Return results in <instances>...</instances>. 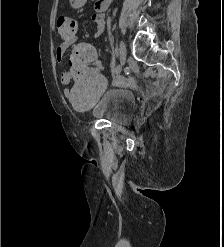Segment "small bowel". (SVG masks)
<instances>
[{
	"instance_id": "1",
	"label": "small bowel",
	"mask_w": 224,
	"mask_h": 247,
	"mask_svg": "<svg viewBox=\"0 0 224 247\" xmlns=\"http://www.w3.org/2000/svg\"><path fill=\"white\" fill-rule=\"evenodd\" d=\"M70 1H71L72 6L75 7V8L81 7L86 2V0H70ZM90 20L92 22H94L96 24V26H97V30H96L95 36L96 37L100 36L104 32L105 27H106L105 14L96 9V13L91 15ZM75 42H76V37L70 38V39H66L56 49L55 58H56V60L58 62H61L63 60V56H64L65 51L71 45H73ZM69 78H70L69 77V73L67 71H63L61 73L60 80H61L62 84H68ZM64 94H65L66 97H68L69 96V89H65L64 90Z\"/></svg>"
}]
</instances>
